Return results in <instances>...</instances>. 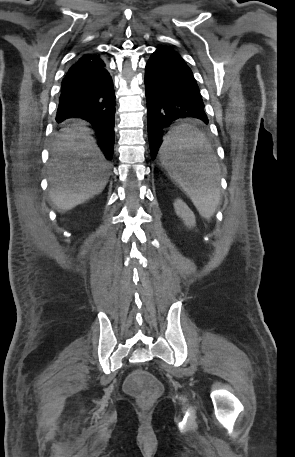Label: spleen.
Here are the masks:
<instances>
[{
	"instance_id": "obj_1",
	"label": "spleen",
	"mask_w": 295,
	"mask_h": 457,
	"mask_svg": "<svg viewBox=\"0 0 295 457\" xmlns=\"http://www.w3.org/2000/svg\"><path fill=\"white\" fill-rule=\"evenodd\" d=\"M207 148V139L201 131L182 124L166 135L159 155L166 159L164 167L190 197L199 214L210 219L220 203L219 178L213 164L191 159L197 150Z\"/></svg>"
}]
</instances>
